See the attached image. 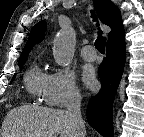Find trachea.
<instances>
[{
  "mask_svg": "<svg viewBox=\"0 0 144 137\" xmlns=\"http://www.w3.org/2000/svg\"><path fill=\"white\" fill-rule=\"evenodd\" d=\"M91 17L93 18L94 21H96V18H95L93 11H91ZM105 45H106V37H103L102 32L99 31L98 37L95 41V47L100 53H104L105 52Z\"/></svg>",
  "mask_w": 144,
  "mask_h": 137,
  "instance_id": "obj_1",
  "label": "trachea"
}]
</instances>
